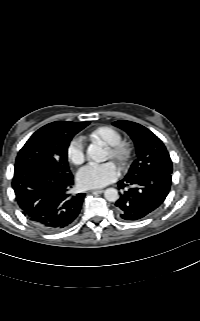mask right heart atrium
<instances>
[{
  "mask_svg": "<svg viewBox=\"0 0 200 321\" xmlns=\"http://www.w3.org/2000/svg\"><path fill=\"white\" fill-rule=\"evenodd\" d=\"M68 159L75 165H80L85 160V144L84 141L79 138H73L67 146Z\"/></svg>",
  "mask_w": 200,
  "mask_h": 321,
  "instance_id": "1",
  "label": "right heart atrium"
}]
</instances>
